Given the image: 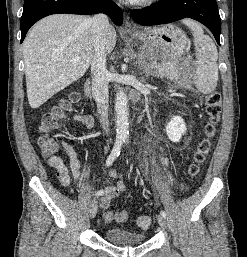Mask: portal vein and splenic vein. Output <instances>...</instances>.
<instances>
[{"label": "portal vein and splenic vein", "instance_id": "obj_1", "mask_svg": "<svg viewBox=\"0 0 247 257\" xmlns=\"http://www.w3.org/2000/svg\"><path fill=\"white\" fill-rule=\"evenodd\" d=\"M73 61H79V58H75V59H73Z\"/></svg>", "mask_w": 247, "mask_h": 257}]
</instances>
